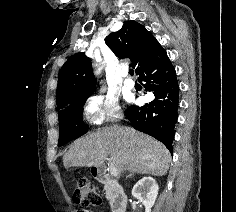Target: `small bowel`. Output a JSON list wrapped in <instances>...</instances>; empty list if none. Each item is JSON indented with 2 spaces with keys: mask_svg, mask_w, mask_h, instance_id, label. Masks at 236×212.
Listing matches in <instances>:
<instances>
[{
  "mask_svg": "<svg viewBox=\"0 0 236 212\" xmlns=\"http://www.w3.org/2000/svg\"><path fill=\"white\" fill-rule=\"evenodd\" d=\"M77 212H92V211H89V209H78Z\"/></svg>",
  "mask_w": 236,
  "mask_h": 212,
  "instance_id": "small-bowel-1",
  "label": "small bowel"
}]
</instances>
